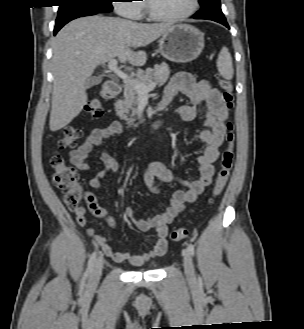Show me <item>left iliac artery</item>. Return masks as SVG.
Listing matches in <instances>:
<instances>
[{
  "instance_id": "left-iliac-artery-1",
  "label": "left iliac artery",
  "mask_w": 304,
  "mask_h": 329,
  "mask_svg": "<svg viewBox=\"0 0 304 329\" xmlns=\"http://www.w3.org/2000/svg\"><path fill=\"white\" fill-rule=\"evenodd\" d=\"M188 250H189V252H190V254H191L192 256L195 255V248H194V245H193L192 243H190V244L188 245Z\"/></svg>"
}]
</instances>
